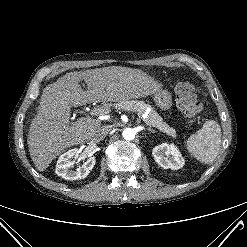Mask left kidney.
<instances>
[{"instance_id": "left-kidney-1", "label": "left kidney", "mask_w": 247, "mask_h": 247, "mask_svg": "<svg viewBox=\"0 0 247 247\" xmlns=\"http://www.w3.org/2000/svg\"><path fill=\"white\" fill-rule=\"evenodd\" d=\"M155 161L164 169L177 170L183 167L184 158L174 144L163 143L152 150Z\"/></svg>"}]
</instances>
